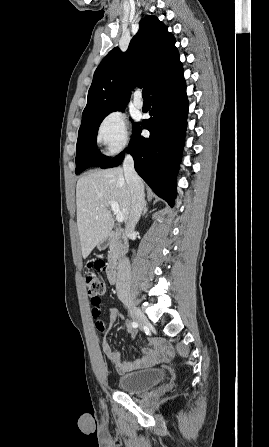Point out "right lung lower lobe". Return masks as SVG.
I'll return each mask as SVG.
<instances>
[{
  "label": "right lung lower lobe",
  "instance_id": "1",
  "mask_svg": "<svg viewBox=\"0 0 269 447\" xmlns=\"http://www.w3.org/2000/svg\"><path fill=\"white\" fill-rule=\"evenodd\" d=\"M183 69L180 66L172 74L158 82L151 90L153 107L135 128L130 141V151L137 173L170 206L176 198V174L184 146L188 101L185 92ZM142 128L150 131V137L141 136ZM124 152L100 165L110 168L120 165Z\"/></svg>",
  "mask_w": 269,
  "mask_h": 447
}]
</instances>
